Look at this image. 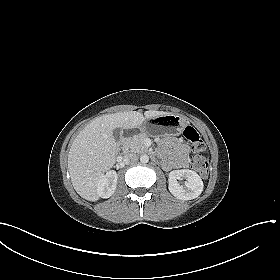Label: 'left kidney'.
Masks as SVG:
<instances>
[{"label":"left kidney","mask_w":280,"mask_h":280,"mask_svg":"<svg viewBox=\"0 0 280 280\" xmlns=\"http://www.w3.org/2000/svg\"><path fill=\"white\" fill-rule=\"evenodd\" d=\"M185 179V184L180 185L177 180ZM168 189L172 195L181 200L197 198L203 191V181L200 176L189 169L173 170L169 173Z\"/></svg>","instance_id":"5707ae66"}]
</instances>
